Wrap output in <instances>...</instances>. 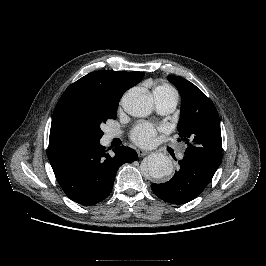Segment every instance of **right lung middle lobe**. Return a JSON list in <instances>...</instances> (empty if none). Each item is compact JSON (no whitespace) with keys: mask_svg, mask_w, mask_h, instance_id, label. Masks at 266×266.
<instances>
[{"mask_svg":"<svg viewBox=\"0 0 266 266\" xmlns=\"http://www.w3.org/2000/svg\"><path fill=\"white\" fill-rule=\"evenodd\" d=\"M118 103L69 102L52 123L58 138L98 142L103 136L101 125L117 115Z\"/></svg>","mask_w":266,"mask_h":266,"instance_id":"right-lung-middle-lobe-1","label":"right lung middle lobe"}]
</instances>
